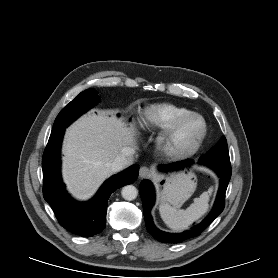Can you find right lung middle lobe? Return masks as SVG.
Wrapping results in <instances>:
<instances>
[{
    "instance_id": "dd1d6c3e",
    "label": "right lung middle lobe",
    "mask_w": 278,
    "mask_h": 278,
    "mask_svg": "<svg viewBox=\"0 0 278 278\" xmlns=\"http://www.w3.org/2000/svg\"><path fill=\"white\" fill-rule=\"evenodd\" d=\"M99 100L97 91L87 89L68 103L58 114L51 133L59 132L69 126L80 115L89 110Z\"/></svg>"
}]
</instances>
